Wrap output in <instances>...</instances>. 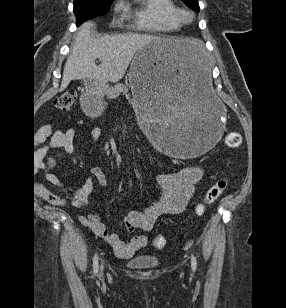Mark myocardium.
<instances>
[{
  "label": "myocardium",
  "instance_id": "myocardium-1",
  "mask_svg": "<svg viewBox=\"0 0 286 308\" xmlns=\"http://www.w3.org/2000/svg\"><path fill=\"white\" fill-rule=\"evenodd\" d=\"M177 16L179 20L181 21V23H185V24L191 23L194 19V15L192 12L188 10L180 9V8L178 10Z\"/></svg>",
  "mask_w": 286,
  "mask_h": 308
}]
</instances>
